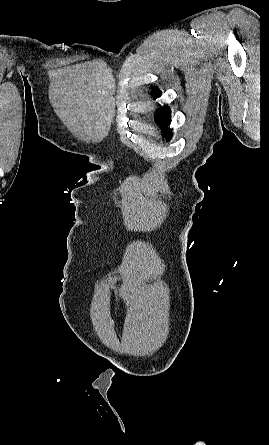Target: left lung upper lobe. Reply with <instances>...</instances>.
Listing matches in <instances>:
<instances>
[{
  "instance_id": "left-lung-upper-lobe-1",
  "label": "left lung upper lobe",
  "mask_w": 269,
  "mask_h": 445,
  "mask_svg": "<svg viewBox=\"0 0 269 445\" xmlns=\"http://www.w3.org/2000/svg\"><path fill=\"white\" fill-rule=\"evenodd\" d=\"M151 94L155 98H157L161 95V92L157 87H154L152 89ZM170 120H171V111L167 106L161 107L155 114V122L159 124L160 127L163 129V134L166 137L167 141L171 139V130L168 129Z\"/></svg>"
}]
</instances>
